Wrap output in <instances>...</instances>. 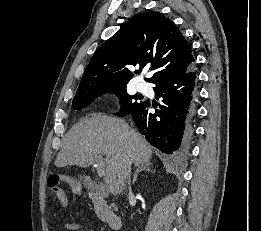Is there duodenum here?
Listing matches in <instances>:
<instances>
[{
  "label": "duodenum",
  "mask_w": 261,
  "mask_h": 231,
  "mask_svg": "<svg viewBox=\"0 0 261 231\" xmlns=\"http://www.w3.org/2000/svg\"><path fill=\"white\" fill-rule=\"evenodd\" d=\"M89 198L92 200L98 215L105 220L111 229L118 230L121 227V219L109 207L106 199L97 193L87 191Z\"/></svg>",
  "instance_id": "obj_1"
}]
</instances>
